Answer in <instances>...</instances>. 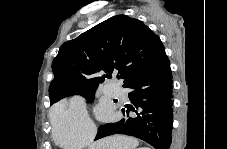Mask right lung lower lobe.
Here are the masks:
<instances>
[{
    "label": "right lung lower lobe",
    "mask_w": 227,
    "mask_h": 149,
    "mask_svg": "<svg viewBox=\"0 0 227 149\" xmlns=\"http://www.w3.org/2000/svg\"><path fill=\"white\" fill-rule=\"evenodd\" d=\"M123 87L132 89L128 96L135 107H127L128 118L101 125L95 139L126 134L144 140L155 149H169L173 126V85L168 58L134 76ZM129 110L136 114L129 117ZM122 112L125 113V109Z\"/></svg>",
    "instance_id": "obj_1"
}]
</instances>
